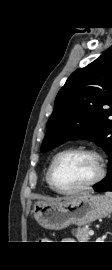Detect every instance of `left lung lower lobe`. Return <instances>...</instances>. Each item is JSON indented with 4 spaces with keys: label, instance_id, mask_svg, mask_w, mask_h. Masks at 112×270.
Wrapping results in <instances>:
<instances>
[{
    "label": "left lung lower lobe",
    "instance_id": "0a47b994",
    "mask_svg": "<svg viewBox=\"0 0 112 270\" xmlns=\"http://www.w3.org/2000/svg\"><path fill=\"white\" fill-rule=\"evenodd\" d=\"M108 167L107 176L101 182L93 186L95 191H112V155L110 156Z\"/></svg>",
    "mask_w": 112,
    "mask_h": 270
}]
</instances>
